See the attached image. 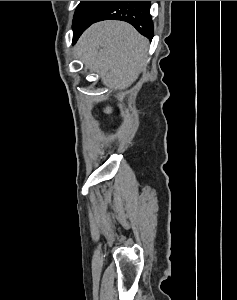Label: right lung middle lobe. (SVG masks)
I'll list each match as a JSON object with an SVG mask.
<instances>
[{"label":"right lung middle lobe","instance_id":"right-lung-middle-lobe-1","mask_svg":"<svg viewBox=\"0 0 237 300\" xmlns=\"http://www.w3.org/2000/svg\"><path fill=\"white\" fill-rule=\"evenodd\" d=\"M114 1H81L73 19L74 34L95 22ZM74 36V35H73Z\"/></svg>","mask_w":237,"mask_h":300}]
</instances>
